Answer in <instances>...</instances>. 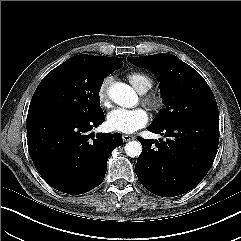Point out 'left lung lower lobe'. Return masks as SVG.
<instances>
[{
  "label": "left lung lower lobe",
  "instance_id": "left-lung-lower-lobe-1",
  "mask_svg": "<svg viewBox=\"0 0 241 241\" xmlns=\"http://www.w3.org/2000/svg\"><path fill=\"white\" fill-rule=\"evenodd\" d=\"M148 130L166 140L139 138L143 150L135 171L142 185L162 197L178 196L196 187L212 166L219 122L190 120L164 127L150 125Z\"/></svg>",
  "mask_w": 241,
  "mask_h": 241
}]
</instances>
